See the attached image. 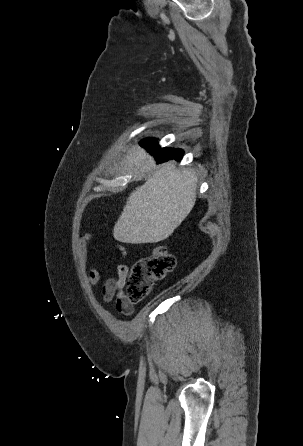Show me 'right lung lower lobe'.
Masks as SVG:
<instances>
[{
	"label": "right lung lower lobe",
	"mask_w": 303,
	"mask_h": 446,
	"mask_svg": "<svg viewBox=\"0 0 303 446\" xmlns=\"http://www.w3.org/2000/svg\"><path fill=\"white\" fill-rule=\"evenodd\" d=\"M140 144L155 155L157 163H162L171 159L181 160L183 156V150L167 147L160 148L156 139L153 138L145 139Z\"/></svg>",
	"instance_id": "98d812e1"
}]
</instances>
